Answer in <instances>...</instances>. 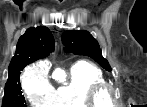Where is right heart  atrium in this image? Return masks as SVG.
I'll list each match as a JSON object with an SVG mask.
<instances>
[{
    "mask_svg": "<svg viewBox=\"0 0 147 107\" xmlns=\"http://www.w3.org/2000/svg\"><path fill=\"white\" fill-rule=\"evenodd\" d=\"M23 89L33 105H46L52 98L53 89L48 80L47 69L41 65L29 68L23 78Z\"/></svg>",
    "mask_w": 147,
    "mask_h": 107,
    "instance_id": "d8ad5b80",
    "label": "right heart atrium"
}]
</instances>
